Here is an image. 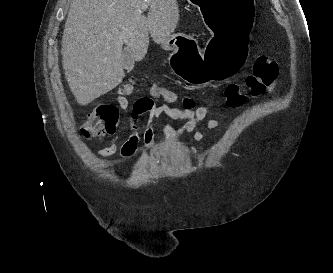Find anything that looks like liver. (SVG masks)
<instances>
[{"instance_id": "liver-1", "label": "liver", "mask_w": 333, "mask_h": 273, "mask_svg": "<svg viewBox=\"0 0 333 273\" xmlns=\"http://www.w3.org/2000/svg\"><path fill=\"white\" fill-rule=\"evenodd\" d=\"M148 3L145 16L141 10ZM179 21L177 0H72L62 37V64L69 87L87 105L124 78L125 44L136 61L172 35Z\"/></svg>"}]
</instances>
